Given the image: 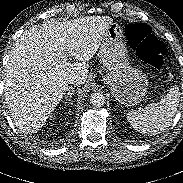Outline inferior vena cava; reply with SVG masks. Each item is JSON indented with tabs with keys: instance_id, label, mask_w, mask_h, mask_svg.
Segmentation results:
<instances>
[{
	"instance_id": "1",
	"label": "inferior vena cava",
	"mask_w": 183,
	"mask_h": 183,
	"mask_svg": "<svg viewBox=\"0 0 183 183\" xmlns=\"http://www.w3.org/2000/svg\"><path fill=\"white\" fill-rule=\"evenodd\" d=\"M67 82L69 84H76V85L83 83L82 78L80 77V75L75 74V73H73V74H71V75L68 76Z\"/></svg>"
}]
</instances>
